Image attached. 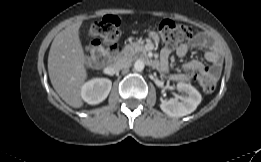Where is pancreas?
Segmentation results:
<instances>
[{
	"instance_id": "1",
	"label": "pancreas",
	"mask_w": 261,
	"mask_h": 162,
	"mask_svg": "<svg viewBox=\"0 0 261 162\" xmlns=\"http://www.w3.org/2000/svg\"><path fill=\"white\" fill-rule=\"evenodd\" d=\"M137 53H143L146 54V50L143 45L137 42H132L124 47V49L121 51L120 57H127L132 58Z\"/></svg>"
}]
</instances>
